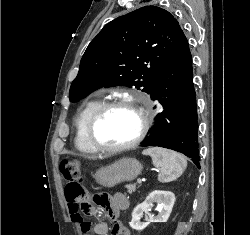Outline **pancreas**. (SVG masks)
Masks as SVG:
<instances>
[{"instance_id": "cf45deb5", "label": "pancreas", "mask_w": 250, "mask_h": 235, "mask_svg": "<svg viewBox=\"0 0 250 235\" xmlns=\"http://www.w3.org/2000/svg\"><path fill=\"white\" fill-rule=\"evenodd\" d=\"M127 190H128V193L129 194H132V192H134L136 190V184H129L126 186Z\"/></svg>"}]
</instances>
